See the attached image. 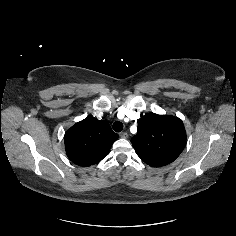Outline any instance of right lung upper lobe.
Returning a JSON list of instances; mask_svg holds the SVG:
<instances>
[{"label":"right lung upper lobe","instance_id":"obj_1","mask_svg":"<svg viewBox=\"0 0 236 236\" xmlns=\"http://www.w3.org/2000/svg\"><path fill=\"white\" fill-rule=\"evenodd\" d=\"M117 138L118 135L112 131L108 122L87 117L66 132V154L79 166L94 165L107 155Z\"/></svg>","mask_w":236,"mask_h":236}]
</instances>
